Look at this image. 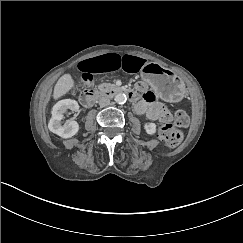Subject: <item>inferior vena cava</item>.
<instances>
[{
	"label": "inferior vena cava",
	"mask_w": 243,
	"mask_h": 243,
	"mask_svg": "<svg viewBox=\"0 0 243 243\" xmlns=\"http://www.w3.org/2000/svg\"><path fill=\"white\" fill-rule=\"evenodd\" d=\"M110 104V99L107 96H102L99 98V105L101 107L108 106Z\"/></svg>",
	"instance_id": "inferior-vena-cava-1"
}]
</instances>
